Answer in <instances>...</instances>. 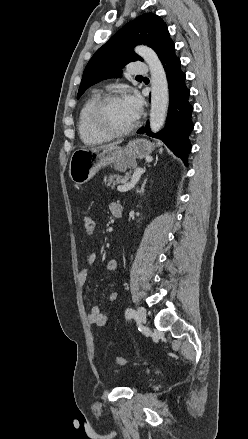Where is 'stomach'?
Returning a JSON list of instances; mask_svg holds the SVG:
<instances>
[{
  "instance_id": "0dacf381",
  "label": "stomach",
  "mask_w": 248,
  "mask_h": 439,
  "mask_svg": "<svg viewBox=\"0 0 248 439\" xmlns=\"http://www.w3.org/2000/svg\"><path fill=\"white\" fill-rule=\"evenodd\" d=\"M154 147L155 145L146 139H135L124 148L109 144L77 149L70 159L69 176L75 184H85L101 167L127 159L145 158L152 153Z\"/></svg>"
}]
</instances>
